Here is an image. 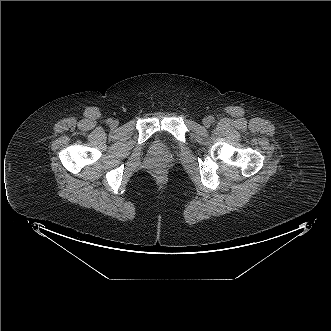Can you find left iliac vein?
<instances>
[{
    "label": "left iliac vein",
    "instance_id": "1",
    "mask_svg": "<svg viewBox=\"0 0 331 331\" xmlns=\"http://www.w3.org/2000/svg\"><path fill=\"white\" fill-rule=\"evenodd\" d=\"M210 124H211V121H210L209 118H204V119H203V125H204L205 127H209Z\"/></svg>",
    "mask_w": 331,
    "mask_h": 331
}]
</instances>
